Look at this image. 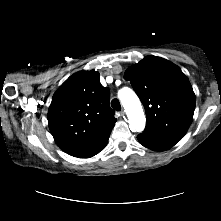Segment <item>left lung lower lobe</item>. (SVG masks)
Masks as SVG:
<instances>
[{
  "mask_svg": "<svg viewBox=\"0 0 221 221\" xmlns=\"http://www.w3.org/2000/svg\"><path fill=\"white\" fill-rule=\"evenodd\" d=\"M184 135L168 132H160L145 128L143 133L137 135L141 145L155 151H164L178 143Z\"/></svg>",
  "mask_w": 221,
  "mask_h": 221,
  "instance_id": "0a47b994",
  "label": "left lung lower lobe"
}]
</instances>
